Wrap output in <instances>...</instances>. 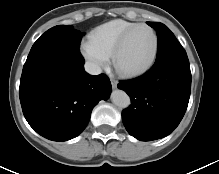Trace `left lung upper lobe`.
Instances as JSON below:
<instances>
[{"instance_id":"5c2ea615","label":"left lung upper lobe","mask_w":219,"mask_h":174,"mask_svg":"<svg viewBox=\"0 0 219 174\" xmlns=\"http://www.w3.org/2000/svg\"><path fill=\"white\" fill-rule=\"evenodd\" d=\"M147 24L157 32L158 48L156 60L168 55H186L184 48L167 26L159 22H147Z\"/></svg>"}]
</instances>
